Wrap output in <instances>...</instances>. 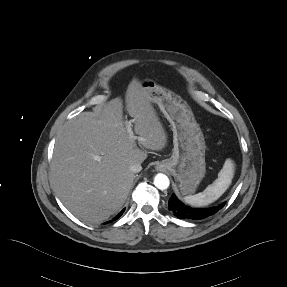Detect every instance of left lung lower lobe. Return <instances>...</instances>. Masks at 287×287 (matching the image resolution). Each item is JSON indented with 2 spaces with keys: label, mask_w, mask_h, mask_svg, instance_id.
<instances>
[{
  "label": "left lung lower lobe",
  "mask_w": 287,
  "mask_h": 287,
  "mask_svg": "<svg viewBox=\"0 0 287 287\" xmlns=\"http://www.w3.org/2000/svg\"><path fill=\"white\" fill-rule=\"evenodd\" d=\"M169 209L173 212L175 216L181 219H204L211 216L222 209L225 203L219 206L208 208V209H198L190 208L181 203L177 197L173 194L168 202Z\"/></svg>",
  "instance_id": "0a47b994"
}]
</instances>
